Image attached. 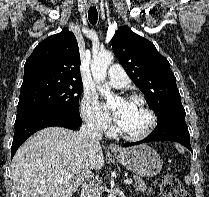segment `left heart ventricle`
<instances>
[{
	"instance_id": "1",
	"label": "left heart ventricle",
	"mask_w": 209,
	"mask_h": 197,
	"mask_svg": "<svg viewBox=\"0 0 209 197\" xmlns=\"http://www.w3.org/2000/svg\"><path fill=\"white\" fill-rule=\"evenodd\" d=\"M123 102H120L119 107ZM128 109L118 125L129 134L142 132L149 123V115L145 108L138 102H128Z\"/></svg>"
}]
</instances>
